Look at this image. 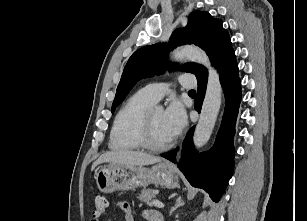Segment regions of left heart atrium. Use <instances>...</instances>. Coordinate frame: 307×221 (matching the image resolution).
I'll list each match as a JSON object with an SVG mask.
<instances>
[{"mask_svg":"<svg viewBox=\"0 0 307 221\" xmlns=\"http://www.w3.org/2000/svg\"><path fill=\"white\" fill-rule=\"evenodd\" d=\"M164 121L170 138L177 137L185 128L187 116L184 107L178 101H173L164 112Z\"/></svg>","mask_w":307,"mask_h":221,"instance_id":"left-heart-atrium-1","label":"left heart atrium"}]
</instances>
